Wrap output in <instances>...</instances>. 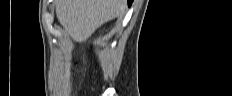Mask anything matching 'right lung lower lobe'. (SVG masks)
Listing matches in <instances>:
<instances>
[{
    "label": "right lung lower lobe",
    "mask_w": 232,
    "mask_h": 96,
    "mask_svg": "<svg viewBox=\"0 0 232 96\" xmlns=\"http://www.w3.org/2000/svg\"><path fill=\"white\" fill-rule=\"evenodd\" d=\"M128 1V5L130 6L133 2V0H127Z\"/></svg>",
    "instance_id": "obj_1"
}]
</instances>
